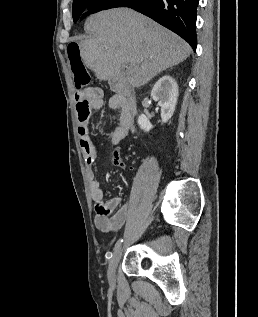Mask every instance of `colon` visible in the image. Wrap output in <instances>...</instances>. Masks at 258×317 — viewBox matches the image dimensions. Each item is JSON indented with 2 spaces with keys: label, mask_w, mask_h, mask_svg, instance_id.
I'll return each instance as SVG.
<instances>
[{
  "label": "colon",
  "mask_w": 258,
  "mask_h": 317,
  "mask_svg": "<svg viewBox=\"0 0 258 317\" xmlns=\"http://www.w3.org/2000/svg\"><path fill=\"white\" fill-rule=\"evenodd\" d=\"M67 57L72 70L76 89L78 91L88 89L91 84V74L82 59L78 43L71 42L67 46Z\"/></svg>",
  "instance_id": "5ec220e1"
}]
</instances>
